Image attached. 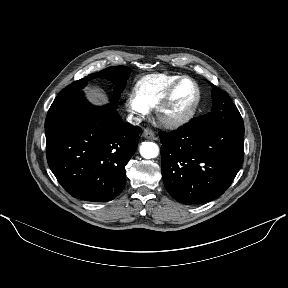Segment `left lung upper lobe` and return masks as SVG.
<instances>
[{"mask_svg": "<svg viewBox=\"0 0 288 288\" xmlns=\"http://www.w3.org/2000/svg\"><path fill=\"white\" fill-rule=\"evenodd\" d=\"M212 86L213 107L209 114L203 116L204 122L228 127L238 133L244 134L243 119L237 107L232 103L226 92L214 85Z\"/></svg>", "mask_w": 288, "mask_h": 288, "instance_id": "1", "label": "left lung upper lobe"}]
</instances>
